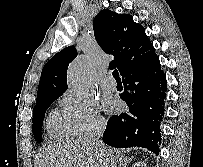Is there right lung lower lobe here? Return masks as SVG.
I'll return each mask as SVG.
<instances>
[{
  "label": "right lung lower lobe",
  "mask_w": 203,
  "mask_h": 167,
  "mask_svg": "<svg viewBox=\"0 0 203 167\" xmlns=\"http://www.w3.org/2000/svg\"><path fill=\"white\" fill-rule=\"evenodd\" d=\"M122 78L125 89L120 97L129 110L108 120L103 142L116 148L140 146L158 153L167 91L159 58Z\"/></svg>",
  "instance_id": "right-lung-lower-lobe-1"
}]
</instances>
